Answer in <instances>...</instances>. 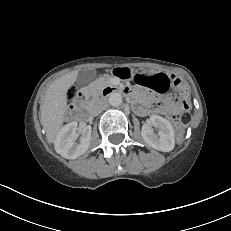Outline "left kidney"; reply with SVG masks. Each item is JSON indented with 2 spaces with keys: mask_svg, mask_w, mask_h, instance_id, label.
<instances>
[{
  "mask_svg": "<svg viewBox=\"0 0 231 231\" xmlns=\"http://www.w3.org/2000/svg\"><path fill=\"white\" fill-rule=\"evenodd\" d=\"M152 126L158 129V135L154 133ZM141 135L149 146L162 152L172 151L175 146L174 129L171 123L158 115L150 116L142 126Z\"/></svg>",
  "mask_w": 231,
  "mask_h": 231,
  "instance_id": "left-kidney-1",
  "label": "left kidney"
}]
</instances>
